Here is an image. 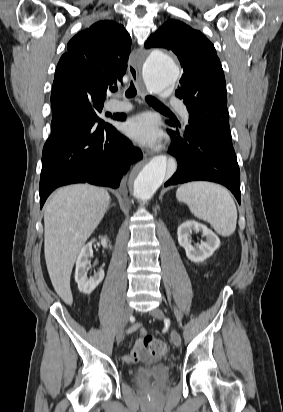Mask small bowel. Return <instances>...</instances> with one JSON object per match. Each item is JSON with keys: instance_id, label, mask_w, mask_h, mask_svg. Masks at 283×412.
<instances>
[{"instance_id": "obj_1", "label": "small bowel", "mask_w": 283, "mask_h": 412, "mask_svg": "<svg viewBox=\"0 0 283 412\" xmlns=\"http://www.w3.org/2000/svg\"><path fill=\"white\" fill-rule=\"evenodd\" d=\"M139 331V333L144 336L146 335V331L144 329H141V324L140 323H134L131 325L128 329V333H133L135 331ZM146 353H145V348L143 346L142 338H139L136 342L132 350L130 351L129 354H127L124 357V361L126 363H134L138 362L142 359H145Z\"/></svg>"}]
</instances>
